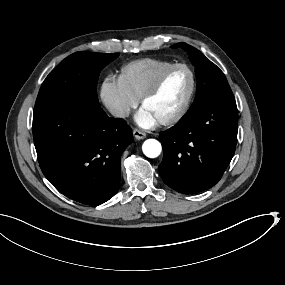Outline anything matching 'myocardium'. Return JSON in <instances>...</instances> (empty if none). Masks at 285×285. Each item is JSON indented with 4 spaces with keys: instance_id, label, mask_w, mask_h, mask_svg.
I'll use <instances>...</instances> for the list:
<instances>
[{
    "instance_id": "myocardium-1",
    "label": "myocardium",
    "mask_w": 285,
    "mask_h": 285,
    "mask_svg": "<svg viewBox=\"0 0 285 285\" xmlns=\"http://www.w3.org/2000/svg\"><path fill=\"white\" fill-rule=\"evenodd\" d=\"M177 73H183L188 75L189 77V91L187 94V97L185 99L184 104L182 105V107L175 112L172 115H169L161 120H159V123L163 124V125H171L174 124L176 122H178L189 110L191 102H192V98H193V92H194V77L193 74L190 70H188L185 67L182 66H176V67H172L170 69H168L167 71H165L160 78L157 80V82L151 87L149 88L147 91H145L139 100L140 105H144V103L150 99L152 96H154L156 93H158L161 88L164 86V84L168 81V79L173 76L174 74Z\"/></svg>"
}]
</instances>
